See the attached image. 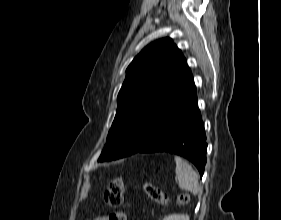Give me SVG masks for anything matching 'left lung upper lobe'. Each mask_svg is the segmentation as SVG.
I'll return each mask as SVG.
<instances>
[{"label": "left lung upper lobe", "mask_w": 281, "mask_h": 220, "mask_svg": "<svg viewBox=\"0 0 281 220\" xmlns=\"http://www.w3.org/2000/svg\"><path fill=\"white\" fill-rule=\"evenodd\" d=\"M126 72L99 161L129 156L150 142L166 112L193 79L181 50L170 38L146 46Z\"/></svg>", "instance_id": "left-lung-upper-lobe-1"}]
</instances>
